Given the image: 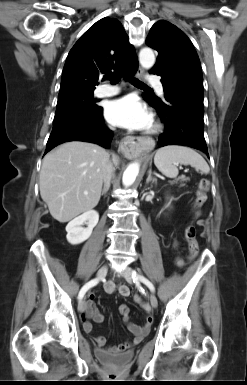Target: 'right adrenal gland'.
Wrapping results in <instances>:
<instances>
[{"label":"right adrenal gland","mask_w":247,"mask_h":385,"mask_svg":"<svg viewBox=\"0 0 247 385\" xmlns=\"http://www.w3.org/2000/svg\"><path fill=\"white\" fill-rule=\"evenodd\" d=\"M109 190V185L107 186H104L103 190H102V194L101 195H104L106 194V192Z\"/></svg>","instance_id":"right-adrenal-gland-1"}]
</instances>
